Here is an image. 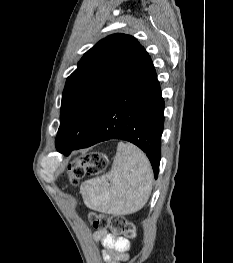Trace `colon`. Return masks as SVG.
<instances>
[{
  "label": "colon",
  "mask_w": 233,
  "mask_h": 263,
  "mask_svg": "<svg viewBox=\"0 0 233 263\" xmlns=\"http://www.w3.org/2000/svg\"><path fill=\"white\" fill-rule=\"evenodd\" d=\"M106 166V159L99 152L80 154L69 165L70 182L76 185L84 176L99 174ZM89 221L95 228L110 229L114 234L122 235L127 239L136 237L134 224L122 215L92 213L89 216Z\"/></svg>",
  "instance_id": "1"
}]
</instances>
